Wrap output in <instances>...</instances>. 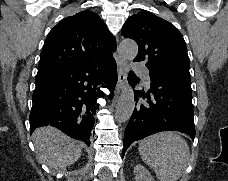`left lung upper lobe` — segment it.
<instances>
[{
	"mask_svg": "<svg viewBox=\"0 0 228 181\" xmlns=\"http://www.w3.org/2000/svg\"><path fill=\"white\" fill-rule=\"evenodd\" d=\"M122 35L138 44L137 61L162 67L190 79L187 48L182 34L170 22L148 11L127 19Z\"/></svg>",
	"mask_w": 228,
	"mask_h": 181,
	"instance_id": "5c2ea615",
	"label": "left lung upper lobe"
}]
</instances>
